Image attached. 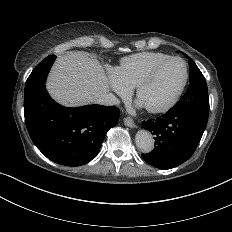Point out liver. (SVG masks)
Segmentation results:
<instances>
[{
  "label": "liver",
  "instance_id": "obj_1",
  "mask_svg": "<svg viewBox=\"0 0 232 232\" xmlns=\"http://www.w3.org/2000/svg\"><path fill=\"white\" fill-rule=\"evenodd\" d=\"M48 89L63 104L75 105L96 101L107 92L108 84L97 59L70 52L57 60Z\"/></svg>",
  "mask_w": 232,
  "mask_h": 232
}]
</instances>
